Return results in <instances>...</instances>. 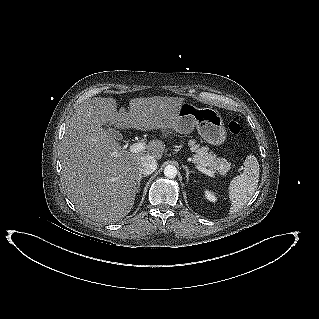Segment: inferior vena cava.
I'll return each instance as SVG.
<instances>
[{
  "mask_svg": "<svg viewBox=\"0 0 319 319\" xmlns=\"http://www.w3.org/2000/svg\"><path fill=\"white\" fill-rule=\"evenodd\" d=\"M157 169V161L152 156H146L140 160L139 173L143 175L152 174Z\"/></svg>",
  "mask_w": 319,
  "mask_h": 319,
  "instance_id": "602c4592",
  "label": "inferior vena cava"
}]
</instances>
